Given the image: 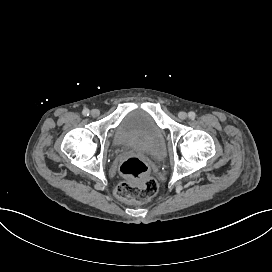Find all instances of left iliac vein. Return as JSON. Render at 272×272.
<instances>
[{
    "label": "left iliac vein",
    "instance_id": "left-iliac-vein-1",
    "mask_svg": "<svg viewBox=\"0 0 272 272\" xmlns=\"http://www.w3.org/2000/svg\"><path fill=\"white\" fill-rule=\"evenodd\" d=\"M178 117L181 119V120H184L187 118V113L184 112V111H181L179 114H178Z\"/></svg>",
    "mask_w": 272,
    "mask_h": 272
}]
</instances>
